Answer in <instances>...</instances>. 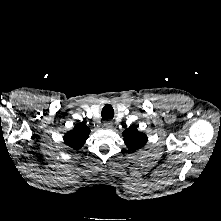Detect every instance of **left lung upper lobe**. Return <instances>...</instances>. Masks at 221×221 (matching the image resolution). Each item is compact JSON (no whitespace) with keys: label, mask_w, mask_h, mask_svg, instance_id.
<instances>
[{"label":"left lung upper lobe","mask_w":221,"mask_h":221,"mask_svg":"<svg viewBox=\"0 0 221 221\" xmlns=\"http://www.w3.org/2000/svg\"><path fill=\"white\" fill-rule=\"evenodd\" d=\"M124 142L130 151L141 149L147 142L148 138L144 133L137 130V127L132 125L127 128L124 133Z\"/></svg>","instance_id":"1"}]
</instances>
